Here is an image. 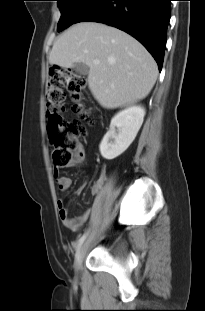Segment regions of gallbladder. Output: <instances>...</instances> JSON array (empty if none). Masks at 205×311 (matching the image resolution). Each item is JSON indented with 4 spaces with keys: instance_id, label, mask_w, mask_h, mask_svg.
<instances>
[{
    "instance_id": "1",
    "label": "gallbladder",
    "mask_w": 205,
    "mask_h": 311,
    "mask_svg": "<svg viewBox=\"0 0 205 311\" xmlns=\"http://www.w3.org/2000/svg\"><path fill=\"white\" fill-rule=\"evenodd\" d=\"M74 70L83 76H85L89 73V67L84 63H76L74 65Z\"/></svg>"
}]
</instances>
